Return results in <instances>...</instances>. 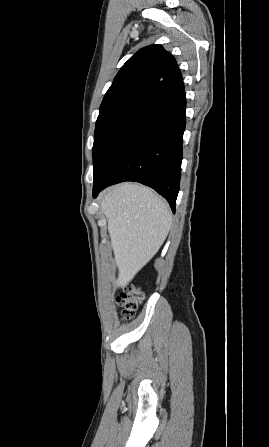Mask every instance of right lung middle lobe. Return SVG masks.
I'll list each match as a JSON object with an SVG mask.
<instances>
[{
  "mask_svg": "<svg viewBox=\"0 0 269 447\" xmlns=\"http://www.w3.org/2000/svg\"><path fill=\"white\" fill-rule=\"evenodd\" d=\"M136 110L138 108L125 107L98 116L92 151L94 161L121 122Z\"/></svg>",
  "mask_w": 269,
  "mask_h": 447,
  "instance_id": "dd1d6c3e",
  "label": "right lung middle lobe"
}]
</instances>
